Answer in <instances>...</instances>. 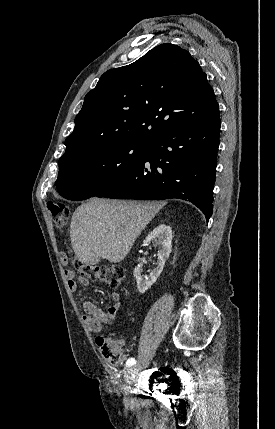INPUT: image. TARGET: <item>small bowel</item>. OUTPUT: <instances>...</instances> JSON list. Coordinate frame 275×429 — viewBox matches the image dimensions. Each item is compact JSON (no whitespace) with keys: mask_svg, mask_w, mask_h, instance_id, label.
I'll return each mask as SVG.
<instances>
[{"mask_svg":"<svg viewBox=\"0 0 275 429\" xmlns=\"http://www.w3.org/2000/svg\"><path fill=\"white\" fill-rule=\"evenodd\" d=\"M65 276L69 289L72 292L76 291L77 283L75 281L74 272L72 270H65ZM80 282L83 285L88 284L87 279L81 278ZM113 300L114 304L108 307L106 310L100 309L95 303L89 300L82 301V308L84 310L82 319L89 331L100 333L105 324L109 325L114 323L120 307V298L117 293L113 294Z\"/></svg>","mask_w":275,"mask_h":429,"instance_id":"obj_1","label":"small bowel"}]
</instances>
